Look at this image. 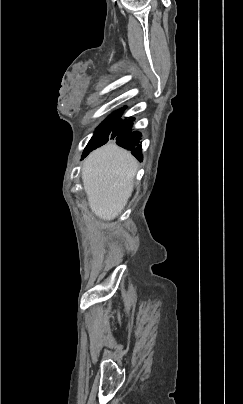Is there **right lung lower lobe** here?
<instances>
[{"instance_id":"right-lung-lower-lobe-1","label":"right lung lower lobe","mask_w":243,"mask_h":404,"mask_svg":"<svg viewBox=\"0 0 243 404\" xmlns=\"http://www.w3.org/2000/svg\"><path fill=\"white\" fill-rule=\"evenodd\" d=\"M132 120H134L132 118ZM132 122L130 119H118L108 137V141H115L117 145L128 149L139 160L142 161L141 145L139 140L141 134L138 131H132Z\"/></svg>"}]
</instances>
